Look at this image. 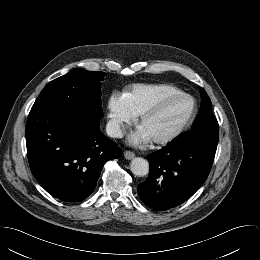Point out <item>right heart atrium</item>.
Masks as SVG:
<instances>
[{"label": "right heart atrium", "mask_w": 260, "mask_h": 260, "mask_svg": "<svg viewBox=\"0 0 260 260\" xmlns=\"http://www.w3.org/2000/svg\"><path fill=\"white\" fill-rule=\"evenodd\" d=\"M107 129L110 135L120 137L125 127L132 123L135 114L130 110L124 94L112 93L108 99Z\"/></svg>", "instance_id": "obj_1"}]
</instances>
